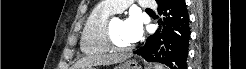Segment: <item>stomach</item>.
<instances>
[{"mask_svg": "<svg viewBox=\"0 0 246 69\" xmlns=\"http://www.w3.org/2000/svg\"><path fill=\"white\" fill-rule=\"evenodd\" d=\"M91 69V68H90ZM120 69H141L138 63L134 60H128L120 67Z\"/></svg>", "mask_w": 246, "mask_h": 69, "instance_id": "stomach-1", "label": "stomach"}]
</instances>
